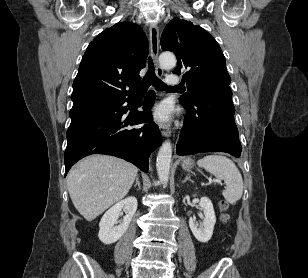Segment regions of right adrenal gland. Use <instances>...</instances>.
<instances>
[{
  "mask_svg": "<svg viewBox=\"0 0 308 278\" xmlns=\"http://www.w3.org/2000/svg\"><path fill=\"white\" fill-rule=\"evenodd\" d=\"M136 186H138L139 188H141V184H140V182H139V176H138V175L136 176V183H135L134 187H136Z\"/></svg>",
  "mask_w": 308,
  "mask_h": 278,
  "instance_id": "1",
  "label": "right adrenal gland"
}]
</instances>
